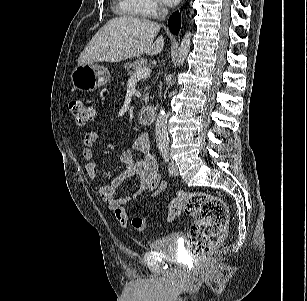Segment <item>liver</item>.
Listing matches in <instances>:
<instances>
[{
	"label": "liver",
	"instance_id": "1",
	"mask_svg": "<svg viewBox=\"0 0 307 301\" xmlns=\"http://www.w3.org/2000/svg\"><path fill=\"white\" fill-rule=\"evenodd\" d=\"M160 24L132 16L109 20L91 39L78 59V65L94 62H120L143 54L157 55L164 48Z\"/></svg>",
	"mask_w": 307,
	"mask_h": 301
}]
</instances>
